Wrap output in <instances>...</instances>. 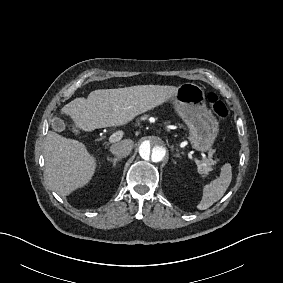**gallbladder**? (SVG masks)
<instances>
[{
	"instance_id": "obj_1",
	"label": "gallbladder",
	"mask_w": 283,
	"mask_h": 283,
	"mask_svg": "<svg viewBox=\"0 0 283 283\" xmlns=\"http://www.w3.org/2000/svg\"><path fill=\"white\" fill-rule=\"evenodd\" d=\"M52 127L57 132H63L66 130L65 122L62 119L57 118V117L52 119Z\"/></svg>"
}]
</instances>
